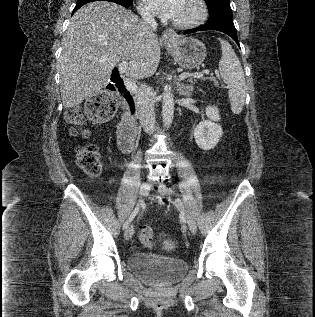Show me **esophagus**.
Listing matches in <instances>:
<instances>
[{
    "mask_svg": "<svg viewBox=\"0 0 315 317\" xmlns=\"http://www.w3.org/2000/svg\"><path fill=\"white\" fill-rule=\"evenodd\" d=\"M175 37H176V33L171 29L165 30L162 34V38L164 41H170L174 39Z\"/></svg>",
    "mask_w": 315,
    "mask_h": 317,
    "instance_id": "1",
    "label": "esophagus"
}]
</instances>
